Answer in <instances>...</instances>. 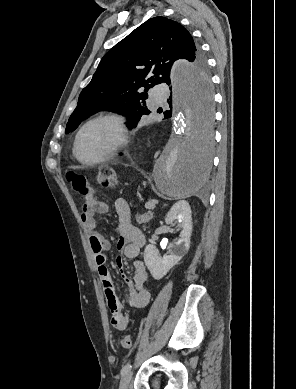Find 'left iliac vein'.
<instances>
[{
    "mask_svg": "<svg viewBox=\"0 0 296 389\" xmlns=\"http://www.w3.org/2000/svg\"><path fill=\"white\" fill-rule=\"evenodd\" d=\"M132 375H133L132 372L129 371L123 376L120 382V389H128L129 384L132 380Z\"/></svg>",
    "mask_w": 296,
    "mask_h": 389,
    "instance_id": "1",
    "label": "left iliac vein"
}]
</instances>
